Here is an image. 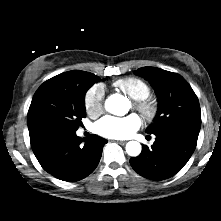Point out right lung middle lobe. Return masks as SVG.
<instances>
[{
  "label": "right lung middle lobe",
  "instance_id": "dd1d6c3e",
  "mask_svg": "<svg viewBox=\"0 0 221 221\" xmlns=\"http://www.w3.org/2000/svg\"><path fill=\"white\" fill-rule=\"evenodd\" d=\"M98 81V76L81 70L45 81L32 99L28 122L48 135L77 131L86 116L85 93Z\"/></svg>",
  "mask_w": 221,
  "mask_h": 221
}]
</instances>
